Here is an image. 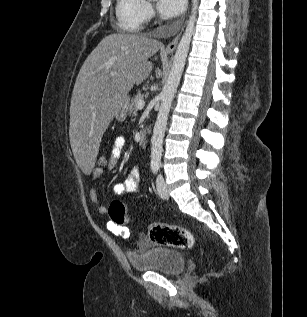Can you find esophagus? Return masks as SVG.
<instances>
[{"instance_id": "esophagus-1", "label": "esophagus", "mask_w": 307, "mask_h": 317, "mask_svg": "<svg viewBox=\"0 0 307 317\" xmlns=\"http://www.w3.org/2000/svg\"><path fill=\"white\" fill-rule=\"evenodd\" d=\"M181 33H182V31L166 46V48L164 49L165 52L171 53L175 50V48L179 42Z\"/></svg>"}]
</instances>
